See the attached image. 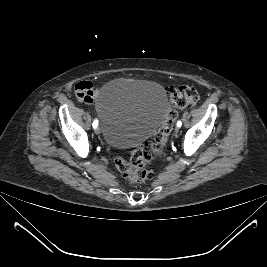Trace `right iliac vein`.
<instances>
[{
  "label": "right iliac vein",
  "mask_w": 267,
  "mask_h": 267,
  "mask_svg": "<svg viewBox=\"0 0 267 267\" xmlns=\"http://www.w3.org/2000/svg\"><path fill=\"white\" fill-rule=\"evenodd\" d=\"M95 133H96V134H100V128H99V127H96V128H95Z\"/></svg>",
  "instance_id": "right-iliac-vein-1"
}]
</instances>
